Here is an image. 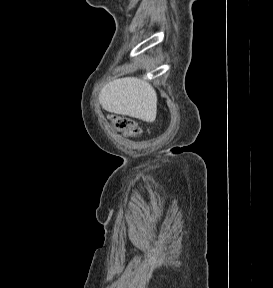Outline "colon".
Here are the masks:
<instances>
[{"mask_svg":"<svg viewBox=\"0 0 273 288\" xmlns=\"http://www.w3.org/2000/svg\"><path fill=\"white\" fill-rule=\"evenodd\" d=\"M109 119L113 126L126 136L137 137L142 134V130L138 124L129 117L110 115Z\"/></svg>","mask_w":273,"mask_h":288,"instance_id":"5ec220e1","label":"colon"}]
</instances>
